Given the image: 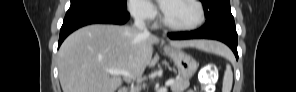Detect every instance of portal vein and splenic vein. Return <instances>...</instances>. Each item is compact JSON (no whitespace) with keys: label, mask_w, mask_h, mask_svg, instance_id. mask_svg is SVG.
Here are the masks:
<instances>
[{"label":"portal vein and splenic vein","mask_w":296,"mask_h":92,"mask_svg":"<svg viewBox=\"0 0 296 92\" xmlns=\"http://www.w3.org/2000/svg\"><path fill=\"white\" fill-rule=\"evenodd\" d=\"M109 74H115V75H122L126 78H130L133 79V76L126 70H122V69H107L106 70ZM174 83V79H169L168 81H166L165 85L166 86H171Z\"/></svg>","instance_id":"1"}]
</instances>
